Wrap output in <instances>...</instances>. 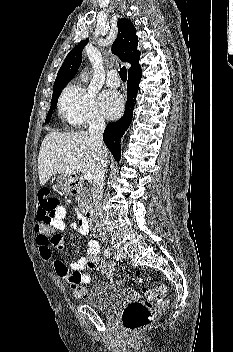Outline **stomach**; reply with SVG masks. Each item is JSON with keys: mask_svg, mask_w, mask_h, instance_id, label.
Instances as JSON below:
<instances>
[{"mask_svg": "<svg viewBox=\"0 0 233 352\" xmlns=\"http://www.w3.org/2000/svg\"><path fill=\"white\" fill-rule=\"evenodd\" d=\"M58 187L65 193L72 191V178L68 175H60L57 179Z\"/></svg>", "mask_w": 233, "mask_h": 352, "instance_id": "stomach-1", "label": "stomach"}]
</instances>
